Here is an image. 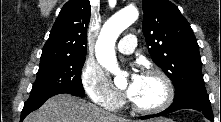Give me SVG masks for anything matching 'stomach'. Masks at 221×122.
<instances>
[{"mask_svg":"<svg viewBox=\"0 0 221 122\" xmlns=\"http://www.w3.org/2000/svg\"><path fill=\"white\" fill-rule=\"evenodd\" d=\"M150 122H173V121L170 119H166V118H158V119H154Z\"/></svg>","mask_w":221,"mask_h":122,"instance_id":"0dacf381","label":"stomach"}]
</instances>
